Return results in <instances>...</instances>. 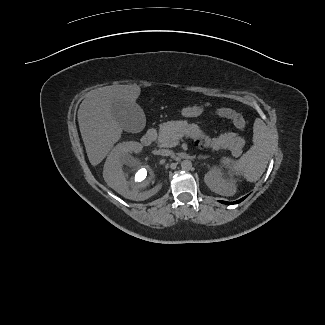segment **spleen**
I'll return each instance as SVG.
<instances>
[{"label": "spleen", "instance_id": "obj_1", "mask_svg": "<svg viewBox=\"0 0 325 325\" xmlns=\"http://www.w3.org/2000/svg\"><path fill=\"white\" fill-rule=\"evenodd\" d=\"M271 153L270 133L267 125L259 118L253 126V146L238 160L224 157L221 164L230 175L243 176L247 181L256 182L264 173Z\"/></svg>", "mask_w": 325, "mask_h": 325}]
</instances>
